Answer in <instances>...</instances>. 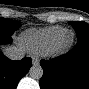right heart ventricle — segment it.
<instances>
[{
	"mask_svg": "<svg viewBox=\"0 0 89 89\" xmlns=\"http://www.w3.org/2000/svg\"><path fill=\"white\" fill-rule=\"evenodd\" d=\"M63 30L65 29L61 26L28 29L22 34L21 42L29 52L46 53L52 41L58 37Z\"/></svg>",
	"mask_w": 89,
	"mask_h": 89,
	"instance_id": "right-heart-ventricle-1",
	"label": "right heart ventricle"
}]
</instances>
